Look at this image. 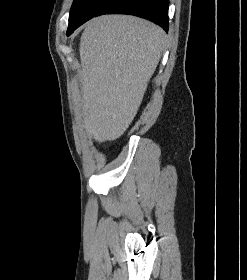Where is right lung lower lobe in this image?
Listing matches in <instances>:
<instances>
[{
    "label": "right lung lower lobe",
    "instance_id": "1",
    "mask_svg": "<svg viewBox=\"0 0 247 280\" xmlns=\"http://www.w3.org/2000/svg\"><path fill=\"white\" fill-rule=\"evenodd\" d=\"M169 0H107L95 16L102 14H129L148 19L168 31ZM81 24L68 28L70 35Z\"/></svg>",
    "mask_w": 247,
    "mask_h": 280
}]
</instances>
